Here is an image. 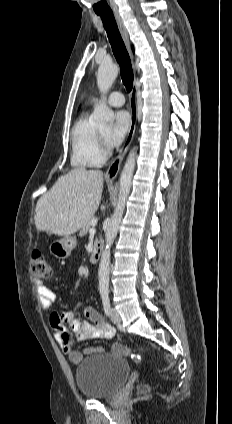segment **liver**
I'll return each instance as SVG.
<instances>
[{
  "instance_id": "liver-1",
  "label": "liver",
  "mask_w": 232,
  "mask_h": 424,
  "mask_svg": "<svg viewBox=\"0 0 232 424\" xmlns=\"http://www.w3.org/2000/svg\"><path fill=\"white\" fill-rule=\"evenodd\" d=\"M100 170L74 168L58 178L37 202L34 221L40 231L70 236L97 211L103 190Z\"/></svg>"
}]
</instances>
